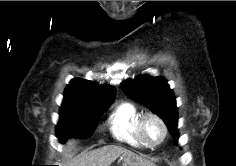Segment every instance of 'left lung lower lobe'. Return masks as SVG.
<instances>
[{
    "label": "left lung lower lobe",
    "mask_w": 236,
    "mask_h": 166,
    "mask_svg": "<svg viewBox=\"0 0 236 166\" xmlns=\"http://www.w3.org/2000/svg\"><path fill=\"white\" fill-rule=\"evenodd\" d=\"M169 130H170V132L173 136V143L177 144V141H178V138H179L177 126H173V127L169 128Z\"/></svg>",
    "instance_id": "0a47b994"
}]
</instances>
